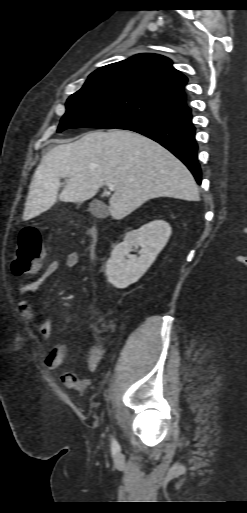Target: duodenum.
<instances>
[{"label":"duodenum","instance_id":"obj_1","mask_svg":"<svg viewBox=\"0 0 247 513\" xmlns=\"http://www.w3.org/2000/svg\"><path fill=\"white\" fill-rule=\"evenodd\" d=\"M89 235H90V239H91L90 245H89V254L91 256H94L95 252H96V239H97V230L95 227L90 228Z\"/></svg>","mask_w":247,"mask_h":513}]
</instances>
